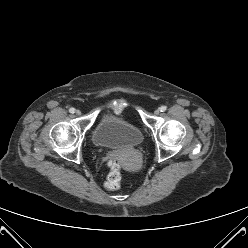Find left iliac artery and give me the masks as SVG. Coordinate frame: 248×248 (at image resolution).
<instances>
[{
	"instance_id": "obj_1",
	"label": "left iliac artery",
	"mask_w": 248,
	"mask_h": 248,
	"mask_svg": "<svg viewBox=\"0 0 248 248\" xmlns=\"http://www.w3.org/2000/svg\"><path fill=\"white\" fill-rule=\"evenodd\" d=\"M160 111H161V112L166 111V106H164V105H163V106H161V107H160Z\"/></svg>"
}]
</instances>
